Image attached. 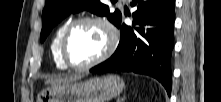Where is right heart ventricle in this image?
Segmentation results:
<instances>
[{"label": "right heart ventricle", "mask_w": 221, "mask_h": 102, "mask_svg": "<svg viewBox=\"0 0 221 102\" xmlns=\"http://www.w3.org/2000/svg\"><path fill=\"white\" fill-rule=\"evenodd\" d=\"M67 24L68 22H64L57 28L50 44L52 59L55 66L60 70L67 69V66L63 63L60 55V41Z\"/></svg>", "instance_id": "e07e8e85"}]
</instances>
